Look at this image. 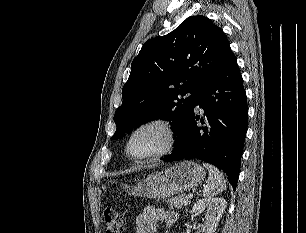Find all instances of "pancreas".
I'll list each match as a JSON object with an SVG mask.
<instances>
[{
  "mask_svg": "<svg viewBox=\"0 0 306 233\" xmlns=\"http://www.w3.org/2000/svg\"><path fill=\"white\" fill-rule=\"evenodd\" d=\"M170 207H175L177 209L187 206L191 203V200L186 195H180L178 197L169 198L166 200Z\"/></svg>",
  "mask_w": 306,
  "mask_h": 233,
  "instance_id": "pancreas-1",
  "label": "pancreas"
}]
</instances>
